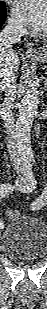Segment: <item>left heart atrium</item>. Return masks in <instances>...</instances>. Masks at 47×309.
<instances>
[{
	"instance_id": "1",
	"label": "left heart atrium",
	"mask_w": 47,
	"mask_h": 309,
	"mask_svg": "<svg viewBox=\"0 0 47 309\" xmlns=\"http://www.w3.org/2000/svg\"><path fill=\"white\" fill-rule=\"evenodd\" d=\"M14 11L17 17L35 30H44L47 24L45 0H16Z\"/></svg>"
}]
</instances>
